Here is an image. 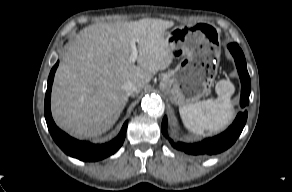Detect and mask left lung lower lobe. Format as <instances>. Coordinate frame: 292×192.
I'll return each instance as SVG.
<instances>
[{
	"label": "left lung lower lobe",
	"mask_w": 292,
	"mask_h": 192,
	"mask_svg": "<svg viewBox=\"0 0 292 192\" xmlns=\"http://www.w3.org/2000/svg\"><path fill=\"white\" fill-rule=\"evenodd\" d=\"M228 48L233 55L238 73L241 79L242 90H241V101L242 107L249 104V95L251 91L250 77L246 68V60L242 50L238 44L231 43ZM247 120V111L239 113L233 122V124L222 134L206 139L200 143L187 144V143H175L172 139H169L172 146L180 151H184L191 155H212L220 153L228 149L239 137L243 127ZM163 134L167 137V118L164 117L161 125Z\"/></svg>",
	"instance_id": "obj_1"
}]
</instances>
